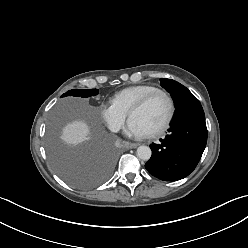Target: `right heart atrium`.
<instances>
[{
  "instance_id": "1",
  "label": "right heart atrium",
  "mask_w": 248,
  "mask_h": 248,
  "mask_svg": "<svg viewBox=\"0 0 248 248\" xmlns=\"http://www.w3.org/2000/svg\"><path fill=\"white\" fill-rule=\"evenodd\" d=\"M101 116L111 131L118 132L125 123L127 113L111 101L101 106Z\"/></svg>"
}]
</instances>
